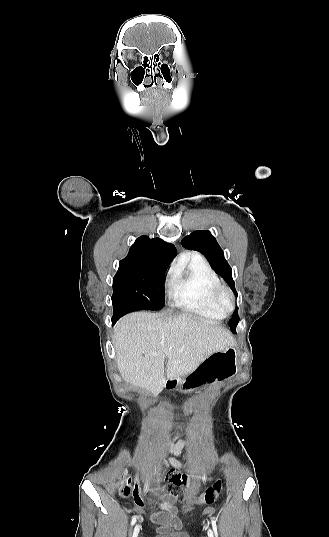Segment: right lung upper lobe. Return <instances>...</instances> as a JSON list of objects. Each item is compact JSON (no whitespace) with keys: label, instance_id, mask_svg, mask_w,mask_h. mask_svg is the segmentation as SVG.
Returning <instances> with one entry per match:
<instances>
[{"label":"right lung upper lobe","instance_id":"1","mask_svg":"<svg viewBox=\"0 0 329 537\" xmlns=\"http://www.w3.org/2000/svg\"><path fill=\"white\" fill-rule=\"evenodd\" d=\"M175 256L176 249L173 245L160 238L140 236L130 247L126 258L119 262L118 271L150 265L169 266Z\"/></svg>","mask_w":329,"mask_h":537}]
</instances>
